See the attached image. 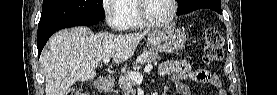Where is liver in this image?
<instances>
[{"instance_id":"6515ba94","label":"liver","mask_w":277,"mask_h":95,"mask_svg":"<svg viewBox=\"0 0 277 95\" xmlns=\"http://www.w3.org/2000/svg\"><path fill=\"white\" fill-rule=\"evenodd\" d=\"M146 34H94L83 26L55 33L40 56L46 95H65L77 81L94 79L104 58L112 57L115 64L127 61Z\"/></svg>"}]
</instances>
